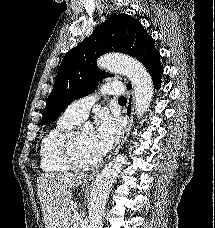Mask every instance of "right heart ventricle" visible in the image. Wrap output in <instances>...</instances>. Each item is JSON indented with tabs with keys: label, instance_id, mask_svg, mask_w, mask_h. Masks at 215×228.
I'll return each instance as SVG.
<instances>
[{
	"label": "right heart ventricle",
	"instance_id": "obj_1",
	"mask_svg": "<svg viewBox=\"0 0 215 228\" xmlns=\"http://www.w3.org/2000/svg\"><path fill=\"white\" fill-rule=\"evenodd\" d=\"M81 121L69 112L62 113L41 140L39 158L41 169L47 174H60L70 168L61 161L57 153L59 139Z\"/></svg>",
	"mask_w": 215,
	"mask_h": 228
}]
</instances>
